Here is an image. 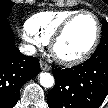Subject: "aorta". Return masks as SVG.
<instances>
[{"instance_id": "762f6f07", "label": "aorta", "mask_w": 108, "mask_h": 108, "mask_svg": "<svg viewBox=\"0 0 108 108\" xmlns=\"http://www.w3.org/2000/svg\"><path fill=\"white\" fill-rule=\"evenodd\" d=\"M54 78L50 73L44 72L40 74V84L43 87L51 88L54 85Z\"/></svg>"}]
</instances>
